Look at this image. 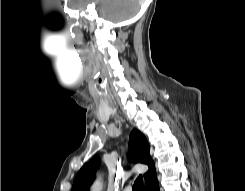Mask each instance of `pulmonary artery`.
Wrapping results in <instances>:
<instances>
[{"instance_id": "obj_1", "label": "pulmonary artery", "mask_w": 245, "mask_h": 191, "mask_svg": "<svg viewBox=\"0 0 245 191\" xmlns=\"http://www.w3.org/2000/svg\"><path fill=\"white\" fill-rule=\"evenodd\" d=\"M124 191H131V188H130V187H126V188L124 189Z\"/></svg>"}]
</instances>
